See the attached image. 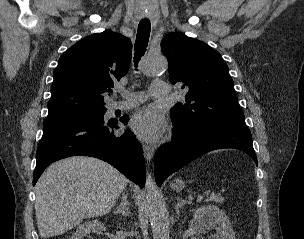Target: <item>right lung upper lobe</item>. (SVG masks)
<instances>
[{
  "mask_svg": "<svg viewBox=\"0 0 304 239\" xmlns=\"http://www.w3.org/2000/svg\"><path fill=\"white\" fill-rule=\"evenodd\" d=\"M132 43L120 34L104 31L80 40L59 59L53 72L47 118L104 108L103 94L112 92L130 65Z\"/></svg>",
  "mask_w": 304,
  "mask_h": 239,
  "instance_id": "1",
  "label": "right lung upper lobe"
}]
</instances>
